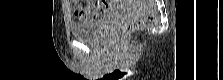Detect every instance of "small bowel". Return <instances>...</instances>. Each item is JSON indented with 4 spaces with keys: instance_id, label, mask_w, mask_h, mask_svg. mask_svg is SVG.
I'll list each match as a JSON object with an SVG mask.
<instances>
[{
    "instance_id": "c3829d8e",
    "label": "small bowel",
    "mask_w": 223,
    "mask_h": 80,
    "mask_svg": "<svg viewBox=\"0 0 223 80\" xmlns=\"http://www.w3.org/2000/svg\"><path fill=\"white\" fill-rule=\"evenodd\" d=\"M112 6V1L98 2L97 4L87 1L85 5L73 3V11L80 20H94L111 9Z\"/></svg>"
}]
</instances>
